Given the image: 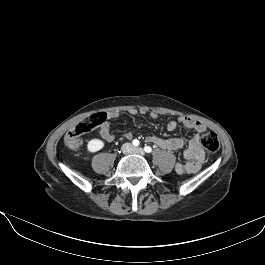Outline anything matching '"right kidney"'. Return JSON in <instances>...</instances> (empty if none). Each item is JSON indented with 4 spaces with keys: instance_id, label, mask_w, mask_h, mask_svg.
<instances>
[{
    "instance_id": "1",
    "label": "right kidney",
    "mask_w": 265,
    "mask_h": 265,
    "mask_svg": "<svg viewBox=\"0 0 265 265\" xmlns=\"http://www.w3.org/2000/svg\"><path fill=\"white\" fill-rule=\"evenodd\" d=\"M104 147V142L100 139H91L87 144V151L95 153Z\"/></svg>"
}]
</instances>
